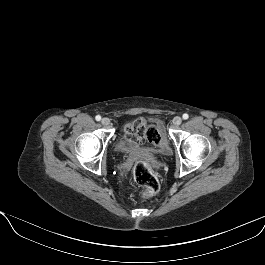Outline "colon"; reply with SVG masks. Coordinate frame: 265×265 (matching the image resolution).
I'll use <instances>...</instances> for the list:
<instances>
[{
    "instance_id": "obj_1",
    "label": "colon",
    "mask_w": 265,
    "mask_h": 265,
    "mask_svg": "<svg viewBox=\"0 0 265 265\" xmlns=\"http://www.w3.org/2000/svg\"><path fill=\"white\" fill-rule=\"evenodd\" d=\"M137 131L154 146L163 145V137L160 129L154 125H146L141 121L136 122ZM134 177L138 184L145 187L147 193L152 195L159 190V182L144 160H139L134 166Z\"/></svg>"
}]
</instances>
